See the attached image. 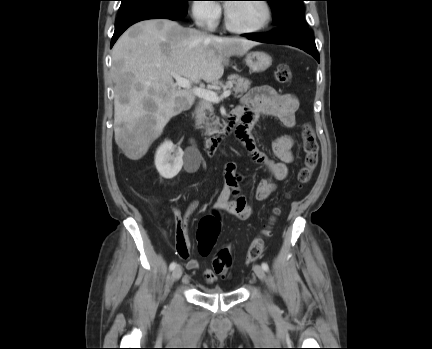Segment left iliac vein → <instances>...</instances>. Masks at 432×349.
I'll return each instance as SVG.
<instances>
[{"instance_id": "4c4485c4", "label": "left iliac vein", "mask_w": 432, "mask_h": 349, "mask_svg": "<svg viewBox=\"0 0 432 349\" xmlns=\"http://www.w3.org/2000/svg\"><path fill=\"white\" fill-rule=\"evenodd\" d=\"M254 272L260 280H265V272L260 265L254 266Z\"/></svg>"}]
</instances>
